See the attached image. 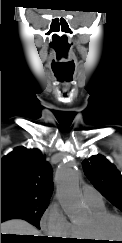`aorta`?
Returning <instances> with one entry per match:
<instances>
[{"mask_svg":"<svg viewBox=\"0 0 122 243\" xmlns=\"http://www.w3.org/2000/svg\"><path fill=\"white\" fill-rule=\"evenodd\" d=\"M57 197L65 214L76 220L83 214V203L79 192V173L75 162L67 160L58 167L55 174Z\"/></svg>","mask_w":122,"mask_h":243,"instance_id":"762f6f07","label":"aorta"}]
</instances>
